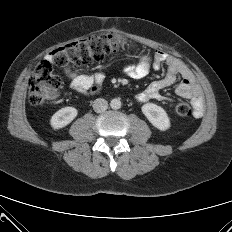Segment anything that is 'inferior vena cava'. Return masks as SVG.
Instances as JSON below:
<instances>
[{
	"instance_id": "inferior-vena-cava-1",
	"label": "inferior vena cava",
	"mask_w": 232,
	"mask_h": 232,
	"mask_svg": "<svg viewBox=\"0 0 232 232\" xmlns=\"http://www.w3.org/2000/svg\"><path fill=\"white\" fill-rule=\"evenodd\" d=\"M108 108V102L103 98H98L93 102V109L97 113L106 111Z\"/></svg>"
}]
</instances>
